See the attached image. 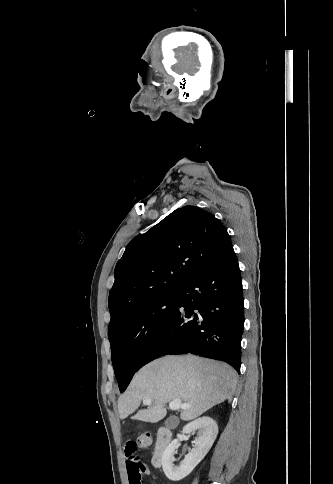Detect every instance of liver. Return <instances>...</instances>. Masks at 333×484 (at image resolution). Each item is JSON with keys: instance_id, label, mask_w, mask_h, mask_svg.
<instances>
[{"instance_id": "6515ba94", "label": "liver", "mask_w": 333, "mask_h": 484, "mask_svg": "<svg viewBox=\"0 0 333 484\" xmlns=\"http://www.w3.org/2000/svg\"><path fill=\"white\" fill-rule=\"evenodd\" d=\"M237 373L229 365L197 356H166L152 361L133 377L128 389L118 399L121 419L132 414L142 400L152 399L147 409L132 419L155 423L166 414V404L180 399L191 407L182 409L184 421L193 420L214 405L231 401Z\"/></svg>"}]
</instances>
